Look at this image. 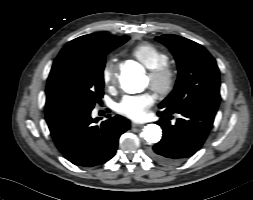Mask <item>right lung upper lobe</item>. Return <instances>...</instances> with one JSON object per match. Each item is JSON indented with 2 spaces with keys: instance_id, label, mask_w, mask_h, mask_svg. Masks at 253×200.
Wrapping results in <instances>:
<instances>
[{
  "instance_id": "1",
  "label": "right lung upper lobe",
  "mask_w": 253,
  "mask_h": 200,
  "mask_svg": "<svg viewBox=\"0 0 253 200\" xmlns=\"http://www.w3.org/2000/svg\"><path fill=\"white\" fill-rule=\"evenodd\" d=\"M115 37L104 33L88 34L70 41L63 49L96 50Z\"/></svg>"
}]
</instances>
